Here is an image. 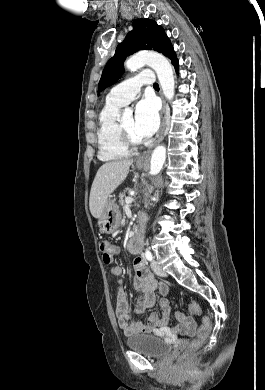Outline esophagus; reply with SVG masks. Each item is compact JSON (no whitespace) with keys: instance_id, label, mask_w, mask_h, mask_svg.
I'll use <instances>...</instances> for the list:
<instances>
[{"instance_id":"esophagus-1","label":"esophagus","mask_w":265,"mask_h":390,"mask_svg":"<svg viewBox=\"0 0 265 390\" xmlns=\"http://www.w3.org/2000/svg\"><path fill=\"white\" fill-rule=\"evenodd\" d=\"M160 95H161V98H162V111H161L162 123H161V129H160V133H159L158 139L156 140V142H155L153 147H155L156 145H158L162 141L163 136H164L165 126H166V120H165L166 103H165V100H164V97H163L162 93H160ZM151 151H152V148L147 150L146 152H144L137 159V162H147L149 160V158H150Z\"/></svg>"}]
</instances>
